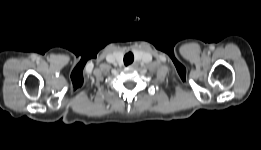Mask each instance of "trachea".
Wrapping results in <instances>:
<instances>
[{
	"label": "trachea",
	"instance_id": "3493384b",
	"mask_svg": "<svg viewBox=\"0 0 261 150\" xmlns=\"http://www.w3.org/2000/svg\"><path fill=\"white\" fill-rule=\"evenodd\" d=\"M134 61V56L131 52L126 53L124 56V64L127 66Z\"/></svg>",
	"mask_w": 261,
	"mask_h": 150
}]
</instances>
